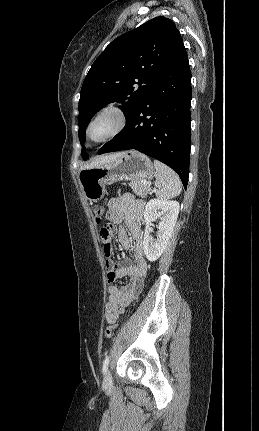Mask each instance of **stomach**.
<instances>
[{"mask_svg": "<svg viewBox=\"0 0 259 431\" xmlns=\"http://www.w3.org/2000/svg\"><path fill=\"white\" fill-rule=\"evenodd\" d=\"M155 170L150 158L137 151L123 152L118 158L79 171V183L85 197L93 202L102 199L106 185L117 181L152 179Z\"/></svg>", "mask_w": 259, "mask_h": 431, "instance_id": "1", "label": "stomach"}]
</instances>
